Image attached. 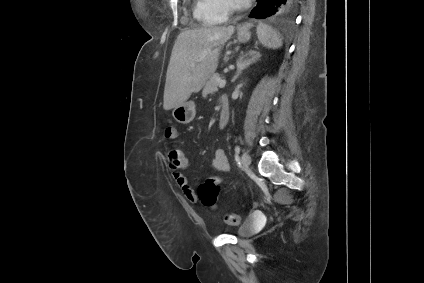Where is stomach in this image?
I'll return each instance as SVG.
<instances>
[{
  "label": "stomach",
  "mask_w": 424,
  "mask_h": 283,
  "mask_svg": "<svg viewBox=\"0 0 424 283\" xmlns=\"http://www.w3.org/2000/svg\"><path fill=\"white\" fill-rule=\"evenodd\" d=\"M251 34L249 30L243 29L238 31V40L246 43L250 40ZM174 119L181 124L190 123L196 115V105L193 101L184 102L174 108L172 113Z\"/></svg>",
  "instance_id": "obj_1"
}]
</instances>
